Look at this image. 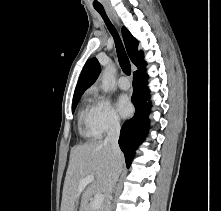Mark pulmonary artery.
I'll use <instances>...</instances> for the list:
<instances>
[{
  "mask_svg": "<svg viewBox=\"0 0 221 211\" xmlns=\"http://www.w3.org/2000/svg\"><path fill=\"white\" fill-rule=\"evenodd\" d=\"M118 86L120 89L127 90L130 87V83L126 77L122 76L118 79Z\"/></svg>",
  "mask_w": 221,
  "mask_h": 211,
  "instance_id": "1",
  "label": "pulmonary artery"
}]
</instances>
